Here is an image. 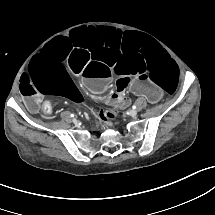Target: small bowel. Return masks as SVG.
Returning <instances> with one entry per match:
<instances>
[{"label": "small bowel", "mask_w": 215, "mask_h": 215, "mask_svg": "<svg viewBox=\"0 0 215 215\" xmlns=\"http://www.w3.org/2000/svg\"><path fill=\"white\" fill-rule=\"evenodd\" d=\"M110 97L118 105H124L126 103V99L124 98V94L120 91L113 92ZM78 101H80V100L78 99ZM28 107L32 112H37L39 109V98L31 99L28 103Z\"/></svg>", "instance_id": "obj_1"}]
</instances>
